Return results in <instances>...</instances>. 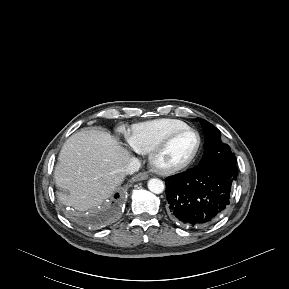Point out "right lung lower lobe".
<instances>
[{"label": "right lung lower lobe", "mask_w": 289, "mask_h": 289, "mask_svg": "<svg viewBox=\"0 0 289 289\" xmlns=\"http://www.w3.org/2000/svg\"><path fill=\"white\" fill-rule=\"evenodd\" d=\"M118 197L119 195L116 194L115 198H118ZM113 215H114V210H108L104 212L100 218L103 220H107V219H110Z\"/></svg>", "instance_id": "obj_1"}]
</instances>
